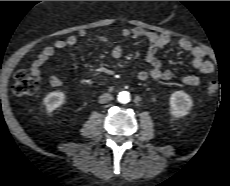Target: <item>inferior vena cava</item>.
Here are the masks:
<instances>
[{"label": "inferior vena cava", "instance_id": "1", "mask_svg": "<svg viewBox=\"0 0 230 186\" xmlns=\"http://www.w3.org/2000/svg\"><path fill=\"white\" fill-rule=\"evenodd\" d=\"M113 99V96L109 93H104L99 97V103H107Z\"/></svg>", "mask_w": 230, "mask_h": 186}]
</instances>
